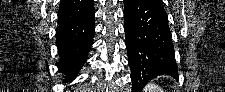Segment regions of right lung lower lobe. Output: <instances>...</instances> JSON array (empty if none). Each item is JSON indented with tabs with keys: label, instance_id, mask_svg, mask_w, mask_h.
Instances as JSON below:
<instances>
[{
	"label": "right lung lower lobe",
	"instance_id": "obj_1",
	"mask_svg": "<svg viewBox=\"0 0 225 92\" xmlns=\"http://www.w3.org/2000/svg\"><path fill=\"white\" fill-rule=\"evenodd\" d=\"M95 10L78 20L58 23L56 45L60 57L57 66L72 81L88 58L95 30Z\"/></svg>",
	"mask_w": 225,
	"mask_h": 92
}]
</instances>
